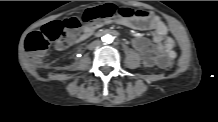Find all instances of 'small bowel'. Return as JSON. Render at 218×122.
<instances>
[{"label": "small bowel", "mask_w": 218, "mask_h": 122, "mask_svg": "<svg viewBox=\"0 0 218 122\" xmlns=\"http://www.w3.org/2000/svg\"><path fill=\"white\" fill-rule=\"evenodd\" d=\"M164 32V29L163 28H160V33H163Z\"/></svg>", "instance_id": "c3829d8e"}]
</instances>
